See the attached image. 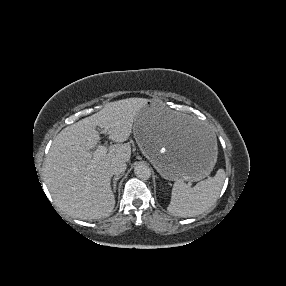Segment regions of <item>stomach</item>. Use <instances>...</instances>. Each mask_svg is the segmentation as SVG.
<instances>
[{
  "label": "stomach",
  "instance_id": "stomach-1",
  "mask_svg": "<svg viewBox=\"0 0 286 286\" xmlns=\"http://www.w3.org/2000/svg\"><path fill=\"white\" fill-rule=\"evenodd\" d=\"M133 133L143 155L165 179L199 181L215 166L214 128L164 103L147 101L135 117Z\"/></svg>",
  "mask_w": 286,
  "mask_h": 286
}]
</instances>
